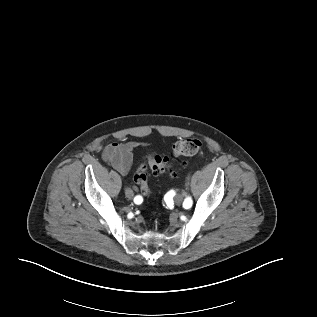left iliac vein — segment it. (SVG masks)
<instances>
[{"label":"left iliac vein","instance_id":"left-iliac-vein-1","mask_svg":"<svg viewBox=\"0 0 317 317\" xmlns=\"http://www.w3.org/2000/svg\"><path fill=\"white\" fill-rule=\"evenodd\" d=\"M174 201L177 205H180L183 202V196L182 194H177L174 197Z\"/></svg>","mask_w":317,"mask_h":317}]
</instances>
